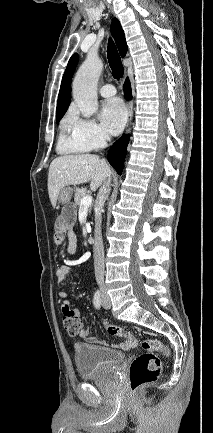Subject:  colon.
<instances>
[{"instance_id":"colon-1","label":"colon","mask_w":213,"mask_h":433,"mask_svg":"<svg viewBox=\"0 0 213 433\" xmlns=\"http://www.w3.org/2000/svg\"><path fill=\"white\" fill-rule=\"evenodd\" d=\"M63 326L69 335H77L82 329V320L79 313L67 312L63 316ZM107 333L111 336L122 337L132 344L139 342L138 338L130 333L124 332L119 325L105 324ZM141 347L146 351L136 356L129 366V385L135 391L145 384L155 381L161 372V360L155 354L169 355L168 347L160 340L149 338L141 341Z\"/></svg>"}]
</instances>
